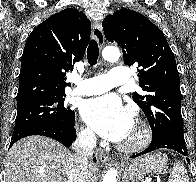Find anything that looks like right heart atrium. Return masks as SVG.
I'll use <instances>...</instances> for the list:
<instances>
[{"label":"right heart atrium","instance_id":"d8ad5b80","mask_svg":"<svg viewBox=\"0 0 196 182\" xmlns=\"http://www.w3.org/2000/svg\"><path fill=\"white\" fill-rule=\"evenodd\" d=\"M80 140L87 144L92 145L95 142V136L92 130L88 127H83L79 132Z\"/></svg>","mask_w":196,"mask_h":182}]
</instances>
